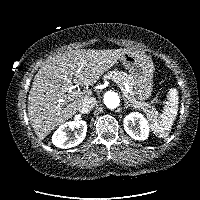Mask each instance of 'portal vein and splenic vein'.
<instances>
[{"label": "portal vein and splenic vein", "instance_id": "portal-vein-and-splenic-vein-1", "mask_svg": "<svg viewBox=\"0 0 200 200\" xmlns=\"http://www.w3.org/2000/svg\"><path fill=\"white\" fill-rule=\"evenodd\" d=\"M114 82L117 83V84H120V82H118L116 80H114ZM71 89H73V87ZM121 89L123 90L125 97H127L131 102H133L132 99L130 98L129 94H128L129 93L128 87L126 86L125 89L123 87H121ZM78 92H80V91H78ZM73 96L74 95H71V97H69V99H71ZM62 101H67V100H62Z\"/></svg>", "mask_w": 200, "mask_h": 200}]
</instances>
